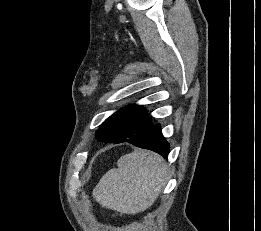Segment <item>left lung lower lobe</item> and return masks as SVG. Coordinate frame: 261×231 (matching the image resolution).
I'll use <instances>...</instances> for the list:
<instances>
[{
	"label": "left lung lower lobe",
	"instance_id": "1",
	"mask_svg": "<svg viewBox=\"0 0 261 231\" xmlns=\"http://www.w3.org/2000/svg\"><path fill=\"white\" fill-rule=\"evenodd\" d=\"M114 143H122V142H129L135 146H138L140 148H145L152 150L160 155H162L164 158L168 157L169 154V143L166 141L165 137L162 134L160 124H155L152 126L148 134L139 139L135 138H121L116 139L113 141Z\"/></svg>",
	"mask_w": 261,
	"mask_h": 231
}]
</instances>
